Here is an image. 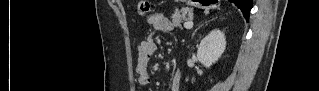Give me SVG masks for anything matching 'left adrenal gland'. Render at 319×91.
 <instances>
[{
	"instance_id": "obj_1",
	"label": "left adrenal gland",
	"mask_w": 319,
	"mask_h": 91,
	"mask_svg": "<svg viewBox=\"0 0 319 91\" xmlns=\"http://www.w3.org/2000/svg\"><path fill=\"white\" fill-rule=\"evenodd\" d=\"M203 25H200L195 31H194V33H193V36H194V34L196 33V31L199 29V28H201Z\"/></svg>"
}]
</instances>
